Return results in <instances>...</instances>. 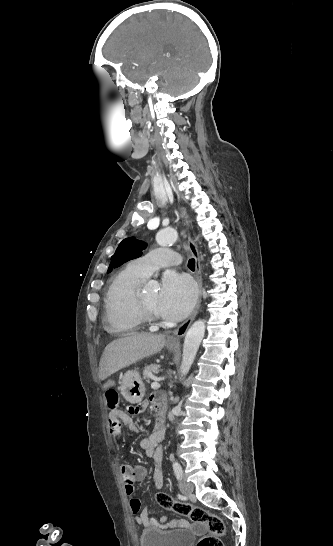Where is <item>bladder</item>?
I'll list each match as a JSON object with an SVG mask.
<instances>
[{
	"mask_svg": "<svg viewBox=\"0 0 333 546\" xmlns=\"http://www.w3.org/2000/svg\"><path fill=\"white\" fill-rule=\"evenodd\" d=\"M193 541V534L185 529L163 531L148 527L140 536V546H192Z\"/></svg>",
	"mask_w": 333,
	"mask_h": 546,
	"instance_id": "bladder-1",
	"label": "bladder"
}]
</instances>
